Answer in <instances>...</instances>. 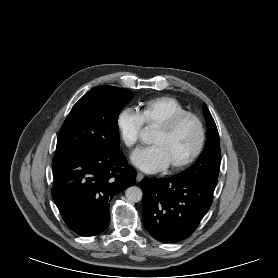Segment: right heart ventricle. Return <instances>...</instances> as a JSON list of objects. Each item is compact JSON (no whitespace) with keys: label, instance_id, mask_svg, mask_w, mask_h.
Returning <instances> with one entry per match:
<instances>
[{"label":"right heart ventricle","instance_id":"e07e8e85","mask_svg":"<svg viewBox=\"0 0 278 278\" xmlns=\"http://www.w3.org/2000/svg\"><path fill=\"white\" fill-rule=\"evenodd\" d=\"M138 112L144 125L158 126L177 114L187 112V109L174 97L160 96L141 102Z\"/></svg>","mask_w":278,"mask_h":278}]
</instances>
